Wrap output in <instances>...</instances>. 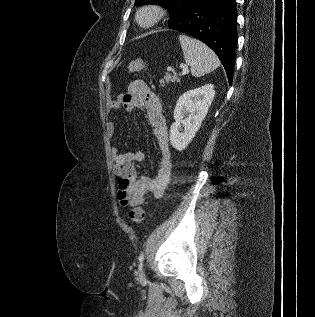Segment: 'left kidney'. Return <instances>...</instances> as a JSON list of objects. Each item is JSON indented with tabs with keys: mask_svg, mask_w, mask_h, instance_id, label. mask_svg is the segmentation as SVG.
I'll return each mask as SVG.
<instances>
[{
	"mask_svg": "<svg viewBox=\"0 0 315 317\" xmlns=\"http://www.w3.org/2000/svg\"><path fill=\"white\" fill-rule=\"evenodd\" d=\"M214 95V85L206 84L186 91L180 96L174 109L175 122L170 128V143L175 149L184 150L194 138L208 112ZM181 125L183 129H181Z\"/></svg>",
	"mask_w": 315,
	"mask_h": 317,
	"instance_id": "5707ae66",
	"label": "left kidney"
}]
</instances>
